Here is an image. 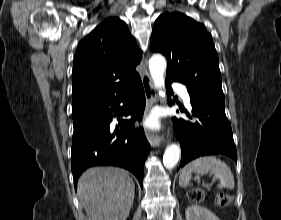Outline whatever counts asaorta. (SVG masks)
I'll use <instances>...</instances> for the list:
<instances>
[{
  "instance_id": "obj_1",
  "label": "aorta",
  "mask_w": 281,
  "mask_h": 220,
  "mask_svg": "<svg viewBox=\"0 0 281 220\" xmlns=\"http://www.w3.org/2000/svg\"><path fill=\"white\" fill-rule=\"evenodd\" d=\"M167 62L165 57L160 54L153 55L149 60V71L153 79V83L156 89L159 91V95L165 98V92L163 88L164 84V74L166 71ZM181 156V149L178 145H169L163 156V163L167 169L174 168Z\"/></svg>"
}]
</instances>
